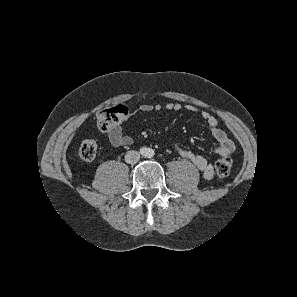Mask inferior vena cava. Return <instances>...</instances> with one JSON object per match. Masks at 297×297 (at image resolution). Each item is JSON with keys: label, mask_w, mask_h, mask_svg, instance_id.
Segmentation results:
<instances>
[{"label": "inferior vena cava", "mask_w": 297, "mask_h": 297, "mask_svg": "<svg viewBox=\"0 0 297 297\" xmlns=\"http://www.w3.org/2000/svg\"><path fill=\"white\" fill-rule=\"evenodd\" d=\"M140 160V153L135 150H130L125 155V161L128 164H135Z\"/></svg>", "instance_id": "inferior-vena-cava-1"}]
</instances>
